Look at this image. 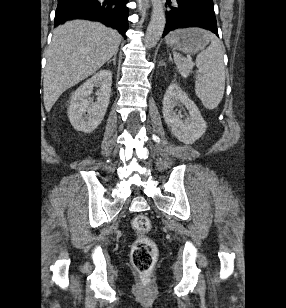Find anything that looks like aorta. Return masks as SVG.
<instances>
[{
  "mask_svg": "<svg viewBox=\"0 0 286 308\" xmlns=\"http://www.w3.org/2000/svg\"><path fill=\"white\" fill-rule=\"evenodd\" d=\"M151 4V20L144 39L145 45L148 48H152L158 43L166 25V15L162 0H151Z\"/></svg>",
  "mask_w": 286,
  "mask_h": 308,
  "instance_id": "obj_1",
  "label": "aorta"
}]
</instances>
